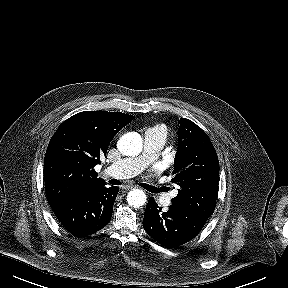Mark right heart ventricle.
I'll list each match as a JSON object with an SVG mask.
<instances>
[{"label":"right heart ventricle","instance_id":"1","mask_svg":"<svg viewBox=\"0 0 288 288\" xmlns=\"http://www.w3.org/2000/svg\"><path fill=\"white\" fill-rule=\"evenodd\" d=\"M159 127H162V128L165 130V127H164V126H159ZM165 133H166V130H165Z\"/></svg>","mask_w":288,"mask_h":288}]
</instances>
